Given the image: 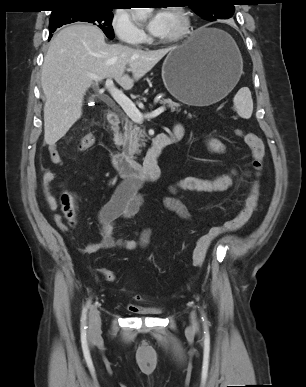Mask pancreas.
<instances>
[{
    "label": "pancreas",
    "mask_w": 306,
    "mask_h": 387,
    "mask_svg": "<svg viewBox=\"0 0 306 387\" xmlns=\"http://www.w3.org/2000/svg\"><path fill=\"white\" fill-rule=\"evenodd\" d=\"M160 104L167 105L171 108L172 112L178 111V108L180 107L179 103H176L169 98L160 100ZM123 125L124 132L119 134L118 140V144L123 148V154H140V148L145 146V130L134 124V122L130 121L127 117L123 118Z\"/></svg>",
    "instance_id": "obj_1"
}]
</instances>
